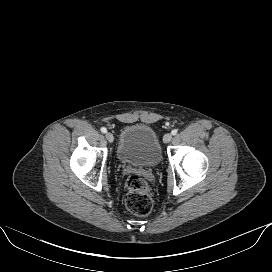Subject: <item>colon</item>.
<instances>
[{
	"instance_id": "colon-1",
	"label": "colon",
	"mask_w": 272,
	"mask_h": 272,
	"mask_svg": "<svg viewBox=\"0 0 272 272\" xmlns=\"http://www.w3.org/2000/svg\"><path fill=\"white\" fill-rule=\"evenodd\" d=\"M125 188L127 208L138 216H147L153 205L148 183L140 175H130Z\"/></svg>"
}]
</instances>
